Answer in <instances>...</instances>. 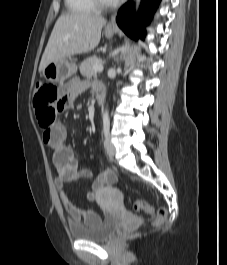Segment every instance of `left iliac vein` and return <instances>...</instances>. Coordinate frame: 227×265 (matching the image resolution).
I'll return each mask as SVG.
<instances>
[{"label": "left iliac vein", "instance_id": "left-iliac-vein-1", "mask_svg": "<svg viewBox=\"0 0 227 265\" xmlns=\"http://www.w3.org/2000/svg\"><path fill=\"white\" fill-rule=\"evenodd\" d=\"M105 148H106L107 153L110 156H114L115 155L116 149H115V146L112 143V141H111L109 136H107L106 139H105Z\"/></svg>", "mask_w": 227, "mask_h": 265}]
</instances>
